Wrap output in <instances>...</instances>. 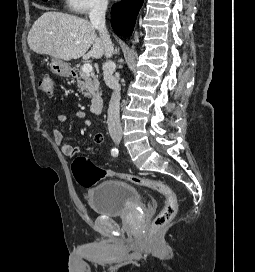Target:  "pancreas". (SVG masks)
<instances>
[{"instance_id":"cf45deb5","label":"pancreas","mask_w":255,"mask_h":272,"mask_svg":"<svg viewBox=\"0 0 255 272\" xmlns=\"http://www.w3.org/2000/svg\"><path fill=\"white\" fill-rule=\"evenodd\" d=\"M79 75L83 82L78 80V88L85 97H91V95L98 93L99 81L95 73H84L81 69Z\"/></svg>"}]
</instances>
